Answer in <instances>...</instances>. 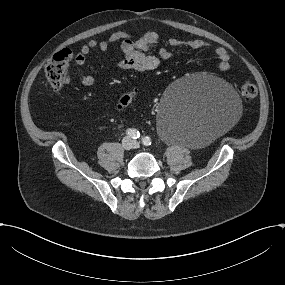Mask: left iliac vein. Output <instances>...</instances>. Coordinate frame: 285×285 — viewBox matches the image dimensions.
<instances>
[{"instance_id": "obj_1", "label": "left iliac vein", "mask_w": 285, "mask_h": 285, "mask_svg": "<svg viewBox=\"0 0 285 285\" xmlns=\"http://www.w3.org/2000/svg\"><path fill=\"white\" fill-rule=\"evenodd\" d=\"M134 148L136 149L140 148V144L138 141H134Z\"/></svg>"}]
</instances>
